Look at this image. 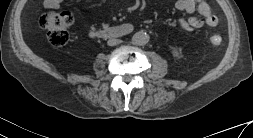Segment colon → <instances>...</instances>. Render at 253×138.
<instances>
[{
	"instance_id": "colon-1",
	"label": "colon",
	"mask_w": 253,
	"mask_h": 138,
	"mask_svg": "<svg viewBox=\"0 0 253 138\" xmlns=\"http://www.w3.org/2000/svg\"><path fill=\"white\" fill-rule=\"evenodd\" d=\"M43 24L51 27V37L53 42L62 44L67 36V25L60 15L45 16L42 20ZM213 43L218 42V37L212 38Z\"/></svg>"
}]
</instances>
